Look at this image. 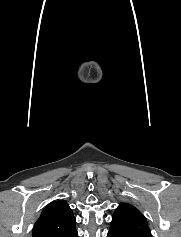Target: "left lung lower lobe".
Wrapping results in <instances>:
<instances>
[{
  "mask_svg": "<svg viewBox=\"0 0 181 237\" xmlns=\"http://www.w3.org/2000/svg\"><path fill=\"white\" fill-rule=\"evenodd\" d=\"M107 237H130V236H122V235H118V234H115V233L108 232Z\"/></svg>",
  "mask_w": 181,
  "mask_h": 237,
  "instance_id": "left-lung-lower-lobe-1",
  "label": "left lung lower lobe"
}]
</instances>
